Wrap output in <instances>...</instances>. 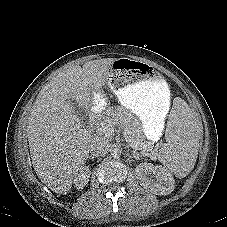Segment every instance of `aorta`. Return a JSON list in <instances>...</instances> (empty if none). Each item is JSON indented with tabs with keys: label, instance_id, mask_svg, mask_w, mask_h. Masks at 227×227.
Wrapping results in <instances>:
<instances>
[{
	"label": "aorta",
	"instance_id": "aorta-1",
	"mask_svg": "<svg viewBox=\"0 0 227 227\" xmlns=\"http://www.w3.org/2000/svg\"><path fill=\"white\" fill-rule=\"evenodd\" d=\"M111 156L114 158V159H118L120 156H121V150L118 149V148H113L111 150Z\"/></svg>",
	"mask_w": 227,
	"mask_h": 227
}]
</instances>
